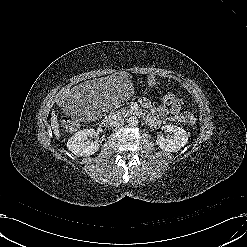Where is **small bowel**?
Wrapping results in <instances>:
<instances>
[{
    "instance_id": "small-bowel-1",
    "label": "small bowel",
    "mask_w": 247,
    "mask_h": 247,
    "mask_svg": "<svg viewBox=\"0 0 247 247\" xmlns=\"http://www.w3.org/2000/svg\"><path fill=\"white\" fill-rule=\"evenodd\" d=\"M149 85L153 86L156 83L155 78L150 77L148 79ZM142 104L145 108H152V104L148 100H143ZM159 115L162 117L171 120V121H177L180 123L186 122V118L189 115L188 112H182L181 111V103L175 99V97L171 100V104L169 106H161L158 109ZM146 122L151 127H158L160 125L159 118L154 114H149L146 116Z\"/></svg>"
}]
</instances>
